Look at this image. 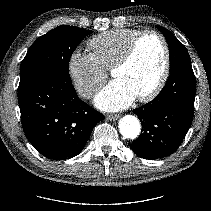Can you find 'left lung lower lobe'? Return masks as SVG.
Returning a JSON list of instances; mask_svg holds the SVG:
<instances>
[{"mask_svg":"<svg viewBox=\"0 0 211 211\" xmlns=\"http://www.w3.org/2000/svg\"><path fill=\"white\" fill-rule=\"evenodd\" d=\"M195 94L196 79L191 62L171 69L158 96L134 109L142 124V134L130 148L144 159H157L174 153L193 121Z\"/></svg>","mask_w":211,"mask_h":211,"instance_id":"0a47b994","label":"left lung lower lobe"}]
</instances>
